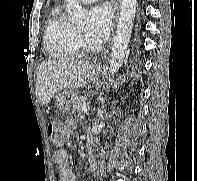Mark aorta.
I'll return each instance as SVG.
<instances>
[{"mask_svg": "<svg viewBox=\"0 0 197 181\" xmlns=\"http://www.w3.org/2000/svg\"><path fill=\"white\" fill-rule=\"evenodd\" d=\"M66 3L71 22L81 24L84 20L82 7L77 0H66ZM136 6L137 0H122L120 18L110 55V73L112 75H114L122 66L128 50Z\"/></svg>", "mask_w": 197, "mask_h": 181, "instance_id": "aorta-1", "label": "aorta"}]
</instances>
